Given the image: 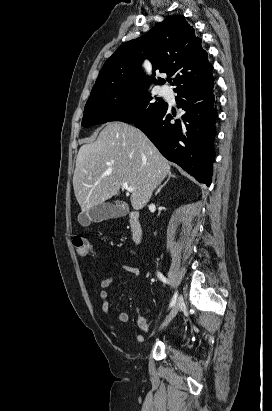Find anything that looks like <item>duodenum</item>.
<instances>
[{
    "instance_id": "1",
    "label": "duodenum",
    "mask_w": 272,
    "mask_h": 411,
    "mask_svg": "<svg viewBox=\"0 0 272 411\" xmlns=\"http://www.w3.org/2000/svg\"><path fill=\"white\" fill-rule=\"evenodd\" d=\"M128 225L132 241L135 244L141 243L144 238V231L140 223L138 212L131 211L128 214Z\"/></svg>"
}]
</instances>
